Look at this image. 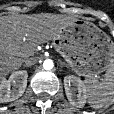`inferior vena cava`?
<instances>
[{
	"instance_id": "602c4592",
	"label": "inferior vena cava",
	"mask_w": 114,
	"mask_h": 114,
	"mask_svg": "<svg viewBox=\"0 0 114 114\" xmlns=\"http://www.w3.org/2000/svg\"><path fill=\"white\" fill-rule=\"evenodd\" d=\"M24 63H25L24 65H26V66H31L35 63V59L34 58H27L24 60Z\"/></svg>"
}]
</instances>
